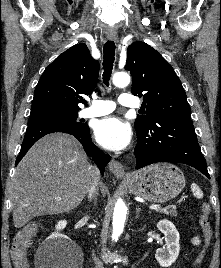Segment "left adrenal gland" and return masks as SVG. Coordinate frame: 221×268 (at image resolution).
Masks as SVG:
<instances>
[{
  "mask_svg": "<svg viewBox=\"0 0 221 268\" xmlns=\"http://www.w3.org/2000/svg\"><path fill=\"white\" fill-rule=\"evenodd\" d=\"M140 211H141V208L139 207V205H137L136 206V216H135L136 219H138Z\"/></svg>",
  "mask_w": 221,
  "mask_h": 268,
  "instance_id": "left-adrenal-gland-1",
  "label": "left adrenal gland"
}]
</instances>
